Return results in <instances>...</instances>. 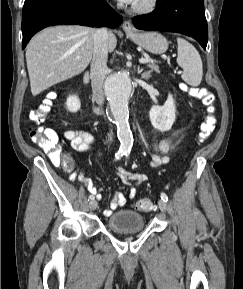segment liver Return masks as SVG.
I'll return each instance as SVG.
<instances>
[{
    "label": "liver",
    "mask_w": 243,
    "mask_h": 289,
    "mask_svg": "<svg viewBox=\"0 0 243 289\" xmlns=\"http://www.w3.org/2000/svg\"><path fill=\"white\" fill-rule=\"evenodd\" d=\"M94 34L90 27L59 25L35 35L26 49L32 95L83 72L92 59ZM116 45V36L109 33L108 51Z\"/></svg>",
    "instance_id": "1"
}]
</instances>
